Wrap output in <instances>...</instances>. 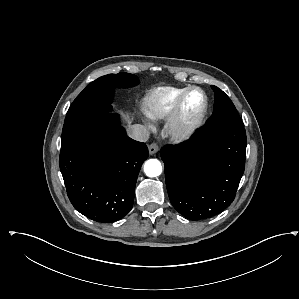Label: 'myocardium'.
Listing matches in <instances>:
<instances>
[{
    "label": "myocardium",
    "mask_w": 299,
    "mask_h": 299,
    "mask_svg": "<svg viewBox=\"0 0 299 299\" xmlns=\"http://www.w3.org/2000/svg\"><path fill=\"white\" fill-rule=\"evenodd\" d=\"M192 92H199L201 94L203 104L196 116L186 119L183 115V108L187 97ZM208 106V97L201 88L192 86L185 89L169 114L167 121L168 134L177 141H182L191 136L202 125L208 111Z\"/></svg>",
    "instance_id": "myocardium-1"
}]
</instances>
